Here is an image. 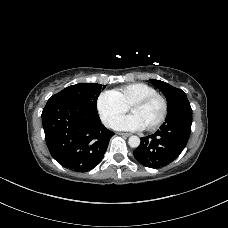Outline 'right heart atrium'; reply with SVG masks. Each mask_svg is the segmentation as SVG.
<instances>
[{
    "instance_id": "right-heart-atrium-1",
    "label": "right heart atrium",
    "mask_w": 228,
    "mask_h": 228,
    "mask_svg": "<svg viewBox=\"0 0 228 228\" xmlns=\"http://www.w3.org/2000/svg\"><path fill=\"white\" fill-rule=\"evenodd\" d=\"M96 108L102 122L108 127H112L128 110L113 91L101 92L96 100Z\"/></svg>"
}]
</instances>
